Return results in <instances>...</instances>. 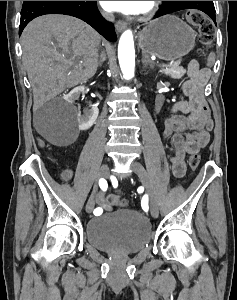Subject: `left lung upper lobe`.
<instances>
[{"label": "left lung upper lobe", "instance_id": "left-lung-upper-lobe-1", "mask_svg": "<svg viewBox=\"0 0 237 300\" xmlns=\"http://www.w3.org/2000/svg\"><path fill=\"white\" fill-rule=\"evenodd\" d=\"M172 2H173V1H162L163 6H162V9H161V12H164V8H165L167 5L171 4Z\"/></svg>", "mask_w": 237, "mask_h": 300}]
</instances>
